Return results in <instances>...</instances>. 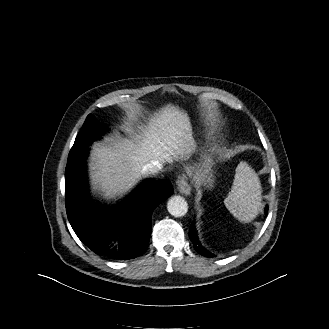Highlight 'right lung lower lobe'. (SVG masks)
I'll list each match as a JSON object with an SVG mask.
<instances>
[{
	"instance_id": "98d812e1",
	"label": "right lung lower lobe",
	"mask_w": 329,
	"mask_h": 329,
	"mask_svg": "<svg viewBox=\"0 0 329 329\" xmlns=\"http://www.w3.org/2000/svg\"><path fill=\"white\" fill-rule=\"evenodd\" d=\"M88 148L67 161L65 203L68 220L79 239L94 253L113 260H129L147 249L155 207L173 194L167 180L144 181L115 207L91 202L85 173Z\"/></svg>"
}]
</instances>
